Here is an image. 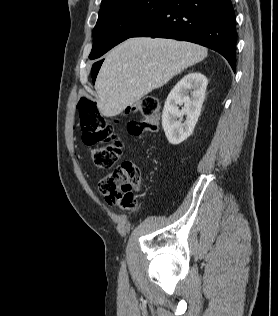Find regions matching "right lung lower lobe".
Returning a JSON list of instances; mask_svg holds the SVG:
<instances>
[{
    "instance_id": "1",
    "label": "right lung lower lobe",
    "mask_w": 278,
    "mask_h": 316,
    "mask_svg": "<svg viewBox=\"0 0 278 316\" xmlns=\"http://www.w3.org/2000/svg\"><path fill=\"white\" fill-rule=\"evenodd\" d=\"M185 40L223 55L235 71L236 26L231 0H166L132 37ZM93 80L96 76L92 75Z\"/></svg>"
}]
</instances>
